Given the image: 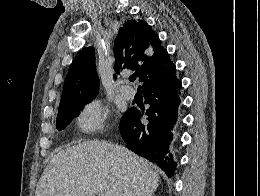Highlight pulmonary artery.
I'll list each match as a JSON object with an SVG mask.
<instances>
[{"instance_id": "1", "label": "pulmonary artery", "mask_w": 260, "mask_h": 196, "mask_svg": "<svg viewBox=\"0 0 260 196\" xmlns=\"http://www.w3.org/2000/svg\"><path fill=\"white\" fill-rule=\"evenodd\" d=\"M121 96L127 100H132L136 94V91L133 89L132 86H124L121 91Z\"/></svg>"}]
</instances>
